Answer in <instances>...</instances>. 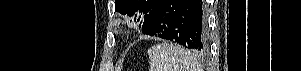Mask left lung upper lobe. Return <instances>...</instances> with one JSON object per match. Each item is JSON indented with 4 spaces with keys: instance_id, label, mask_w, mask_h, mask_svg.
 Wrapping results in <instances>:
<instances>
[{
    "instance_id": "1",
    "label": "left lung upper lobe",
    "mask_w": 301,
    "mask_h": 71,
    "mask_svg": "<svg viewBox=\"0 0 301 71\" xmlns=\"http://www.w3.org/2000/svg\"><path fill=\"white\" fill-rule=\"evenodd\" d=\"M159 0H116L115 11L145 20Z\"/></svg>"
}]
</instances>
